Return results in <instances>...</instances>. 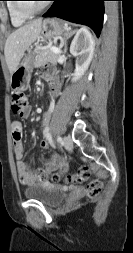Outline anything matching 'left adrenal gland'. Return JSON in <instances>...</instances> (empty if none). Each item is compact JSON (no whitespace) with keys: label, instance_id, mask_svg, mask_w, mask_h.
<instances>
[{"label":"left adrenal gland","instance_id":"left-adrenal-gland-1","mask_svg":"<svg viewBox=\"0 0 133 253\" xmlns=\"http://www.w3.org/2000/svg\"><path fill=\"white\" fill-rule=\"evenodd\" d=\"M76 32V30L70 29L64 36V53L67 51V40Z\"/></svg>","mask_w":133,"mask_h":253}]
</instances>
